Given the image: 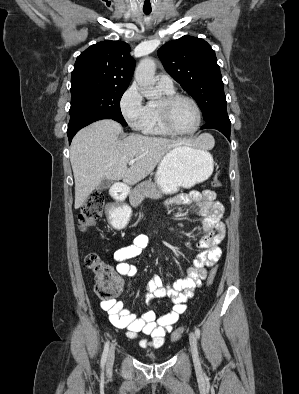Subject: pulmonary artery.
Segmentation results:
<instances>
[{
    "mask_svg": "<svg viewBox=\"0 0 299 394\" xmlns=\"http://www.w3.org/2000/svg\"><path fill=\"white\" fill-rule=\"evenodd\" d=\"M158 85L163 88H174L172 78L167 74H161L158 76Z\"/></svg>",
    "mask_w": 299,
    "mask_h": 394,
    "instance_id": "e3ab8cb5",
    "label": "pulmonary artery"
}]
</instances>
